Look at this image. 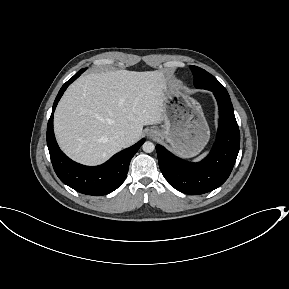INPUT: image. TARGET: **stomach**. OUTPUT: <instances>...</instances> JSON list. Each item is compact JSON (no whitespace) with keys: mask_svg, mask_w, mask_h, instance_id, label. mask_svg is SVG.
<instances>
[{"mask_svg":"<svg viewBox=\"0 0 289 289\" xmlns=\"http://www.w3.org/2000/svg\"><path fill=\"white\" fill-rule=\"evenodd\" d=\"M160 139L181 157L196 156L207 144L210 130L200 104L174 86L164 94Z\"/></svg>","mask_w":289,"mask_h":289,"instance_id":"stomach-1","label":"stomach"}]
</instances>
